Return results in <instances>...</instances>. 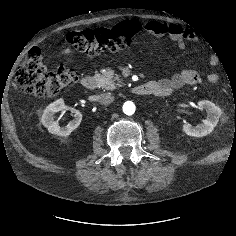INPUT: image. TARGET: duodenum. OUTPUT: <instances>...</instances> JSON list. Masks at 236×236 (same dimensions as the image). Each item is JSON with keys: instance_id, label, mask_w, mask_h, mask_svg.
Masks as SVG:
<instances>
[{"instance_id": "obj_1", "label": "duodenum", "mask_w": 236, "mask_h": 236, "mask_svg": "<svg viewBox=\"0 0 236 236\" xmlns=\"http://www.w3.org/2000/svg\"><path fill=\"white\" fill-rule=\"evenodd\" d=\"M96 80L93 76H85L82 79V86L88 90H93L96 87ZM132 92L136 95L153 94L154 88L150 83L136 85L132 88Z\"/></svg>"}]
</instances>
